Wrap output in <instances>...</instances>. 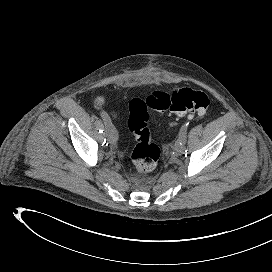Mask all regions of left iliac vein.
<instances>
[{"instance_id": "obj_1", "label": "left iliac vein", "mask_w": 272, "mask_h": 272, "mask_svg": "<svg viewBox=\"0 0 272 272\" xmlns=\"http://www.w3.org/2000/svg\"><path fill=\"white\" fill-rule=\"evenodd\" d=\"M174 151L177 155H180L184 151V147L177 143L174 147Z\"/></svg>"}]
</instances>
